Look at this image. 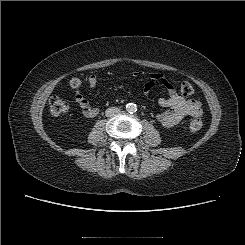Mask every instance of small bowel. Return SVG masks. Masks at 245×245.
I'll return each mask as SVG.
<instances>
[{
    "label": "small bowel",
    "instance_id": "obj_1",
    "mask_svg": "<svg viewBox=\"0 0 245 245\" xmlns=\"http://www.w3.org/2000/svg\"><path fill=\"white\" fill-rule=\"evenodd\" d=\"M144 75L142 71H135L134 77H141ZM98 78L95 74L88 77V85L94 88L97 85ZM161 84L168 92V97H161L158 100L160 106L166 108L165 111L158 113L156 118L158 122L166 128L177 125L183 118L187 116L198 117L202 114V105L198 100L186 99L181 96L175 86L161 73H151L149 80L144 86V93L148 95L152 88ZM82 114L87 118H94L98 115V109L93 107L90 102L82 94H77L75 97Z\"/></svg>",
    "mask_w": 245,
    "mask_h": 245
}]
</instances>
